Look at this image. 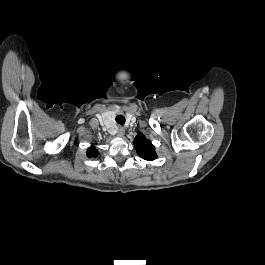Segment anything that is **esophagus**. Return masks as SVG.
<instances>
[{
	"label": "esophagus",
	"instance_id": "obj_1",
	"mask_svg": "<svg viewBox=\"0 0 265 265\" xmlns=\"http://www.w3.org/2000/svg\"><path fill=\"white\" fill-rule=\"evenodd\" d=\"M124 132H125V129H124L122 126H119V127L117 128V135H118L119 137H122V136L124 135Z\"/></svg>",
	"mask_w": 265,
	"mask_h": 265
}]
</instances>
